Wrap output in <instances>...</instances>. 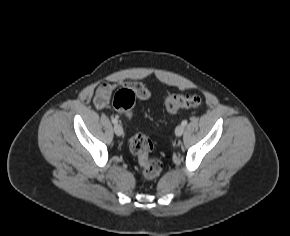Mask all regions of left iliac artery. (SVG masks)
Masks as SVG:
<instances>
[{"label": "left iliac artery", "instance_id": "obj_1", "mask_svg": "<svg viewBox=\"0 0 290 236\" xmlns=\"http://www.w3.org/2000/svg\"><path fill=\"white\" fill-rule=\"evenodd\" d=\"M183 126L187 125V120H183L181 123Z\"/></svg>", "mask_w": 290, "mask_h": 236}]
</instances>
